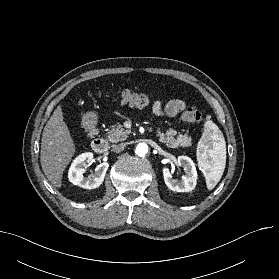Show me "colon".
<instances>
[{"instance_id":"1","label":"colon","mask_w":279,"mask_h":279,"mask_svg":"<svg viewBox=\"0 0 279 279\" xmlns=\"http://www.w3.org/2000/svg\"><path fill=\"white\" fill-rule=\"evenodd\" d=\"M116 96L122 104L133 107H145L151 101L150 95L129 89H119ZM182 119L189 123L200 122L202 120V113L196 106H191L183 112Z\"/></svg>"}]
</instances>
